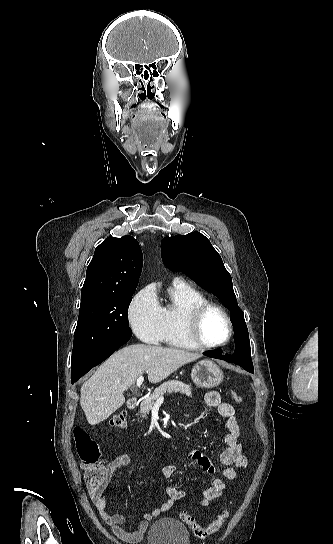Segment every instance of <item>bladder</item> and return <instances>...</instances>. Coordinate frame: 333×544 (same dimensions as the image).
I'll use <instances>...</instances> for the list:
<instances>
[{
    "mask_svg": "<svg viewBox=\"0 0 333 544\" xmlns=\"http://www.w3.org/2000/svg\"><path fill=\"white\" fill-rule=\"evenodd\" d=\"M147 544H190V535L183 523L165 517L155 521L150 527Z\"/></svg>",
    "mask_w": 333,
    "mask_h": 544,
    "instance_id": "31cf9c89",
    "label": "bladder"
}]
</instances>
